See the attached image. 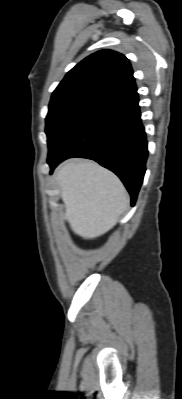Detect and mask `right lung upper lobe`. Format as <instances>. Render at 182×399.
<instances>
[{"mask_svg": "<svg viewBox=\"0 0 182 399\" xmlns=\"http://www.w3.org/2000/svg\"><path fill=\"white\" fill-rule=\"evenodd\" d=\"M137 90L129 60L112 50L98 51L71 69L52 94L87 95L105 102Z\"/></svg>", "mask_w": 182, "mask_h": 399, "instance_id": "obj_1", "label": "right lung upper lobe"}]
</instances>
